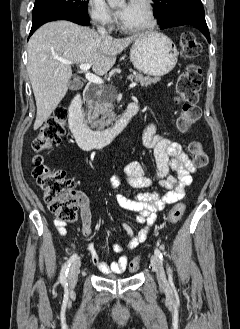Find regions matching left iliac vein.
I'll use <instances>...</instances> for the list:
<instances>
[{
	"mask_svg": "<svg viewBox=\"0 0 240 329\" xmlns=\"http://www.w3.org/2000/svg\"><path fill=\"white\" fill-rule=\"evenodd\" d=\"M151 263H152L153 269L157 273L159 284L161 286H166L167 279H166V275H165V271H164V267H163V263H162L161 259L156 254H153L151 256Z\"/></svg>",
	"mask_w": 240,
	"mask_h": 329,
	"instance_id": "4c4485c4",
	"label": "left iliac vein"
}]
</instances>
